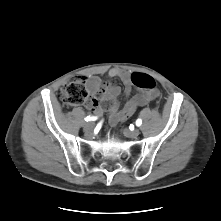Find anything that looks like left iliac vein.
<instances>
[{
	"instance_id": "left-iliac-vein-1",
	"label": "left iliac vein",
	"mask_w": 221,
	"mask_h": 221,
	"mask_svg": "<svg viewBox=\"0 0 221 221\" xmlns=\"http://www.w3.org/2000/svg\"><path fill=\"white\" fill-rule=\"evenodd\" d=\"M139 133H140L139 129H134V130L124 129V134L127 137L136 138L139 135Z\"/></svg>"
}]
</instances>
